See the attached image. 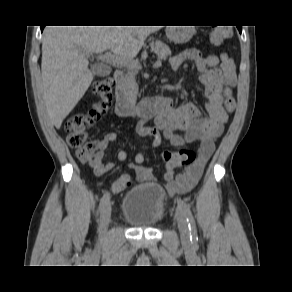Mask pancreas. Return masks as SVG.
I'll list each match as a JSON object with an SVG mask.
<instances>
[{"instance_id": "cf45deb5", "label": "pancreas", "mask_w": 292, "mask_h": 292, "mask_svg": "<svg viewBox=\"0 0 292 292\" xmlns=\"http://www.w3.org/2000/svg\"><path fill=\"white\" fill-rule=\"evenodd\" d=\"M151 50L156 53L161 59H166L171 55V50L165 43L161 41H153L150 43ZM138 68L128 66L127 73L122 81V88L125 90L128 96H135L137 94L138 88L135 83V75Z\"/></svg>"}]
</instances>
